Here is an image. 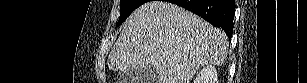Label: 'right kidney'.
I'll return each mask as SVG.
<instances>
[{"label": "right kidney", "instance_id": "right-kidney-1", "mask_svg": "<svg viewBox=\"0 0 307 83\" xmlns=\"http://www.w3.org/2000/svg\"><path fill=\"white\" fill-rule=\"evenodd\" d=\"M194 83H218L217 70L212 65H207L197 74Z\"/></svg>", "mask_w": 307, "mask_h": 83}]
</instances>
